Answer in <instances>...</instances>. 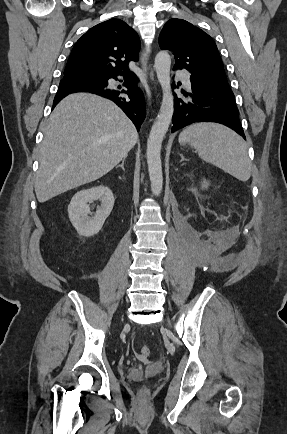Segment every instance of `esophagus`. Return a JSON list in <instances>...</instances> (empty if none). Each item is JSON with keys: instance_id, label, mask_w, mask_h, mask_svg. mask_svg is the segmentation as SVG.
Segmentation results:
<instances>
[{"instance_id": "1", "label": "esophagus", "mask_w": 287, "mask_h": 434, "mask_svg": "<svg viewBox=\"0 0 287 434\" xmlns=\"http://www.w3.org/2000/svg\"><path fill=\"white\" fill-rule=\"evenodd\" d=\"M150 52L147 49H144L141 53V65L144 71H147V64L149 61Z\"/></svg>"}]
</instances>
